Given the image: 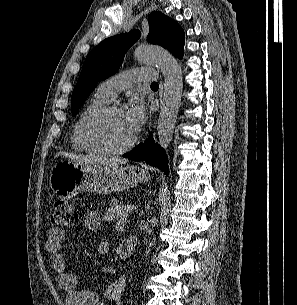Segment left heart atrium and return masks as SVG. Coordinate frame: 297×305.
<instances>
[{
    "mask_svg": "<svg viewBox=\"0 0 297 305\" xmlns=\"http://www.w3.org/2000/svg\"><path fill=\"white\" fill-rule=\"evenodd\" d=\"M124 114L135 134L139 132L145 123V108L142 101L134 99Z\"/></svg>",
    "mask_w": 297,
    "mask_h": 305,
    "instance_id": "39dd6f15",
    "label": "left heart atrium"
}]
</instances>
